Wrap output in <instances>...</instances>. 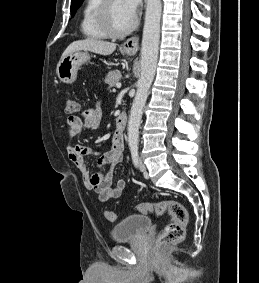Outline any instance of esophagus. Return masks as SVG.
<instances>
[{
  "label": "esophagus",
  "instance_id": "obj_1",
  "mask_svg": "<svg viewBox=\"0 0 259 283\" xmlns=\"http://www.w3.org/2000/svg\"><path fill=\"white\" fill-rule=\"evenodd\" d=\"M122 49L129 54H135L139 49V36L135 35L124 41Z\"/></svg>",
  "mask_w": 259,
  "mask_h": 283
}]
</instances>
